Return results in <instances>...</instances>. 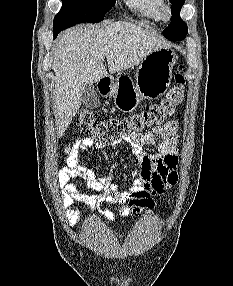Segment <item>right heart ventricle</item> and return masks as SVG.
<instances>
[{
  "label": "right heart ventricle",
  "mask_w": 233,
  "mask_h": 286,
  "mask_svg": "<svg viewBox=\"0 0 233 286\" xmlns=\"http://www.w3.org/2000/svg\"><path fill=\"white\" fill-rule=\"evenodd\" d=\"M130 9L138 13L146 20L157 23L159 22V5L160 0H125Z\"/></svg>",
  "instance_id": "e07e8e85"
}]
</instances>
